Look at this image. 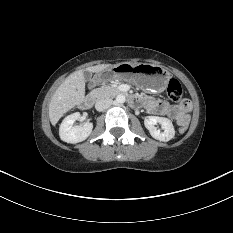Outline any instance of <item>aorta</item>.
Instances as JSON below:
<instances>
[{"label": "aorta", "mask_w": 233, "mask_h": 233, "mask_svg": "<svg viewBox=\"0 0 233 233\" xmlns=\"http://www.w3.org/2000/svg\"><path fill=\"white\" fill-rule=\"evenodd\" d=\"M126 100V97L122 94L116 96V102L119 104H123Z\"/></svg>", "instance_id": "1"}]
</instances>
